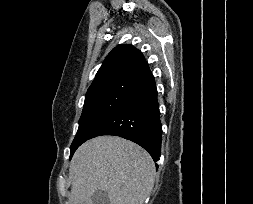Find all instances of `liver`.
<instances>
[{"instance_id": "liver-1", "label": "liver", "mask_w": 253, "mask_h": 204, "mask_svg": "<svg viewBox=\"0 0 253 204\" xmlns=\"http://www.w3.org/2000/svg\"><path fill=\"white\" fill-rule=\"evenodd\" d=\"M69 204H92L102 190L110 204H144L155 179V164L147 151L118 136H99L82 144L69 168Z\"/></svg>"}]
</instances>
